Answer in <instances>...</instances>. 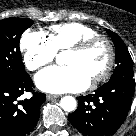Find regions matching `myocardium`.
Here are the masks:
<instances>
[{
  "instance_id": "1",
  "label": "myocardium",
  "mask_w": 136,
  "mask_h": 136,
  "mask_svg": "<svg viewBox=\"0 0 136 136\" xmlns=\"http://www.w3.org/2000/svg\"><path fill=\"white\" fill-rule=\"evenodd\" d=\"M97 42H104L106 44L108 49V61L104 69L90 81L91 86H96L104 81L110 75L113 69L116 59V52L112 41L105 35L97 34L80 40L68 49V52L83 53Z\"/></svg>"
}]
</instances>
